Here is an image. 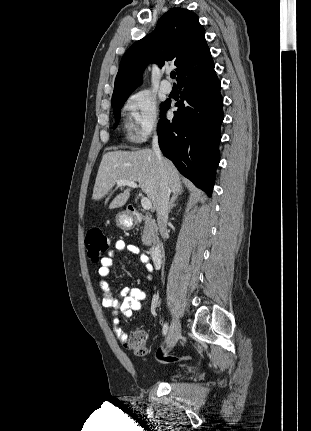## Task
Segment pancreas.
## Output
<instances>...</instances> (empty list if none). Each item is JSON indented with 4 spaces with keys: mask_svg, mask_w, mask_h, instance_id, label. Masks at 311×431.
<instances>
[{
    "mask_svg": "<svg viewBox=\"0 0 311 431\" xmlns=\"http://www.w3.org/2000/svg\"><path fill=\"white\" fill-rule=\"evenodd\" d=\"M144 225L142 227V241L144 245H152V243H158V227L154 219L151 216H143Z\"/></svg>",
    "mask_w": 311,
    "mask_h": 431,
    "instance_id": "1",
    "label": "pancreas"
}]
</instances>
